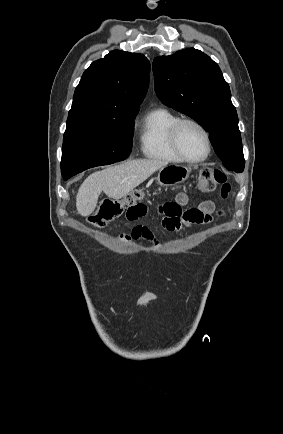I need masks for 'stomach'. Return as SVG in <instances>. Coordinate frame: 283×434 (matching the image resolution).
<instances>
[{
    "instance_id": "stomach-1",
    "label": "stomach",
    "mask_w": 283,
    "mask_h": 434,
    "mask_svg": "<svg viewBox=\"0 0 283 434\" xmlns=\"http://www.w3.org/2000/svg\"><path fill=\"white\" fill-rule=\"evenodd\" d=\"M190 169L183 165H169L160 169L157 181L161 186H174L188 179Z\"/></svg>"
}]
</instances>
